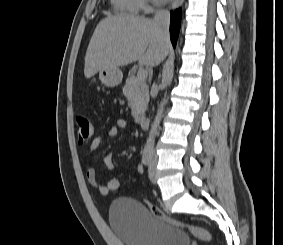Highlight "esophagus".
Segmentation results:
<instances>
[{
	"instance_id": "34e87169",
	"label": "esophagus",
	"mask_w": 283,
	"mask_h": 245,
	"mask_svg": "<svg viewBox=\"0 0 283 245\" xmlns=\"http://www.w3.org/2000/svg\"><path fill=\"white\" fill-rule=\"evenodd\" d=\"M184 0H173L172 9H176L183 3Z\"/></svg>"
}]
</instances>
